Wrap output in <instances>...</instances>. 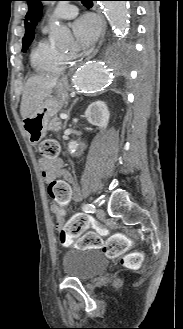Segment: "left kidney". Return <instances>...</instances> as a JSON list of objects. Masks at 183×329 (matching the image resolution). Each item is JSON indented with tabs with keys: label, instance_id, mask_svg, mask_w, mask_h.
<instances>
[{
	"label": "left kidney",
	"instance_id": "left-kidney-1",
	"mask_svg": "<svg viewBox=\"0 0 183 329\" xmlns=\"http://www.w3.org/2000/svg\"><path fill=\"white\" fill-rule=\"evenodd\" d=\"M110 113L104 101H96L88 106L85 111L87 121L100 129H106L109 122Z\"/></svg>",
	"mask_w": 183,
	"mask_h": 329
}]
</instances>
